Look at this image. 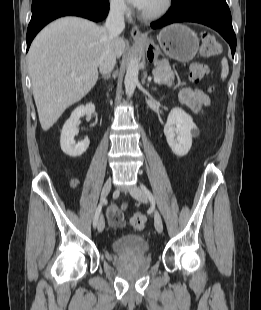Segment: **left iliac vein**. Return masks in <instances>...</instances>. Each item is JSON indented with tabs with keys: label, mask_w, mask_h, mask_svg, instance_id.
<instances>
[{
	"label": "left iliac vein",
	"mask_w": 261,
	"mask_h": 310,
	"mask_svg": "<svg viewBox=\"0 0 261 310\" xmlns=\"http://www.w3.org/2000/svg\"><path fill=\"white\" fill-rule=\"evenodd\" d=\"M130 194L133 198H135L138 201H141V202L148 201L145 193L137 186H134L130 189ZM153 215H154L155 228L159 233H161L163 231V223H162L161 215L156 209L153 210Z\"/></svg>",
	"instance_id": "obj_1"
}]
</instances>
